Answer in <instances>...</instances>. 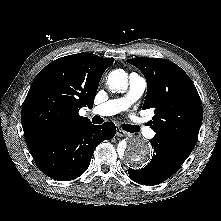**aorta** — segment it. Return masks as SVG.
<instances>
[{"mask_svg": "<svg viewBox=\"0 0 221 221\" xmlns=\"http://www.w3.org/2000/svg\"><path fill=\"white\" fill-rule=\"evenodd\" d=\"M107 83L111 92H124L128 87L127 73L122 69L113 70L108 75ZM117 150L120 157L135 168L145 166L151 156L147 140L140 136H133L128 140L121 141Z\"/></svg>", "mask_w": 221, "mask_h": 221, "instance_id": "762f6f07", "label": "aorta"}]
</instances>
